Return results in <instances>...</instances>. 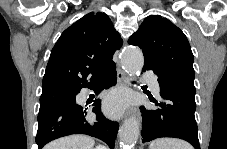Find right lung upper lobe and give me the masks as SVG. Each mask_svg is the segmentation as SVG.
Masks as SVG:
<instances>
[{
	"label": "right lung upper lobe",
	"instance_id": "1",
	"mask_svg": "<svg viewBox=\"0 0 227 149\" xmlns=\"http://www.w3.org/2000/svg\"><path fill=\"white\" fill-rule=\"evenodd\" d=\"M122 46L110 18L91 12L67 28L54 45L42 81V89L67 85L80 87L96 79L112 65Z\"/></svg>",
	"mask_w": 227,
	"mask_h": 149
}]
</instances>
